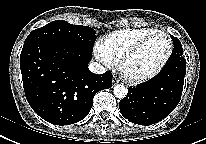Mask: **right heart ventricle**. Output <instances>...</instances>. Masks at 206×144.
<instances>
[{
  "mask_svg": "<svg viewBox=\"0 0 206 144\" xmlns=\"http://www.w3.org/2000/svg\"><path fill=\"white\" fill-rule=\"evenodd\" d=\"M155 31L157 30L154 28H128L118 30L106 35L101 43L112 60L118 62L131 46Z\"/></svg>",
  "mask_w": 206,
  "mask_h": 144,
  "instance_id": "obj_1",
  "label": "right heart ventricle"
}]
</instances>
